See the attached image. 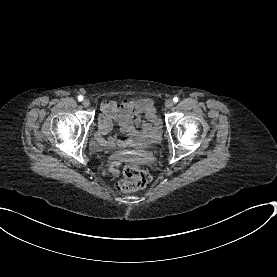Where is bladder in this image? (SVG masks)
I'll return each instance as SVG.
<instances>
[{
  "instance_id": "obj_1",
  "label": "bladder",
  "mask_w": 277,
  "mask_h": 277,
  "mask_svg": "<svg viewBox=\"0 0 277 277\" xmlns=\"http://www.w3.org/2000/svg\"><path fill=\"white\" fill-rule=\"evenodd\" d=\"M161 136H162V132H161L160 128H156V129H154L152 134H150L149 139L152 142H154V139H156L158 141L161 138Z\"/></svg>"
}]
</instances>
